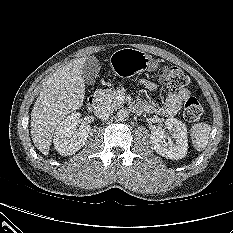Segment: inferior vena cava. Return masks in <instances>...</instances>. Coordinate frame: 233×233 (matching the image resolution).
Segmentation results:
<instances>
[{
	"label": "inferior vena cava",
	"instance_id": "602c4592",
	"mask_svg": "<svg viewBox=\"0 0 233 233\" xmlns=\"http://www.w3.org/2000/svg\"><path fill=\"white\" fill-rule=\"evenodd\" d=\"M113 113V108L110 105L100 103L94 109V115L100 119H106Z\"/></svg>",
	"mask_w": 233,
	"mask_h": 233
}]
</instances>
